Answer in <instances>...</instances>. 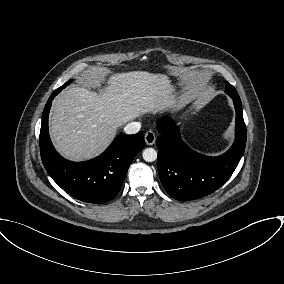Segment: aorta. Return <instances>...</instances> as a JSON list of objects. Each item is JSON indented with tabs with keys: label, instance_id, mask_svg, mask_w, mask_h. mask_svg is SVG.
Instances as JSON below:
<instances>
[{
	"label": "aorta",
	"instance_id": "1",
	"mask_svg": "<svg viewBox=\"0 0 284 284\" xmlns=\"http://www.w3.org/2000/svg\"><path fill=\"white\" fill-rule=\"evenodd\" d=\"M142 156L146 162H153L157 159V151L154 148H146L143 150Z\"/></svg>",
	"mask_w": 284,
	"mask_h": 284
}]
</instances>
